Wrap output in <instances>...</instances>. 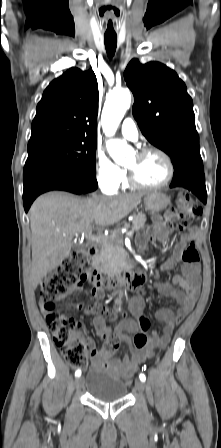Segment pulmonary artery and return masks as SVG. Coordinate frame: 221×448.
<instances>
[{
    "mask_svg": "<svg viewBox=\"0 0 221 448\" xmlns=\"http://www.w3.org/2000/svg\"><path fill=\"white\" fill-rule=\"evenodd\" d=\"M121 135L131 141H137L139 132L135 121L131 117H126L121 126Z\"/></svg>",
    "mask_w": 221,
    "mask_h": 448,
    "instance_id": "obj_1",
    "label": "pulmonary artery"
}]
</instances>
